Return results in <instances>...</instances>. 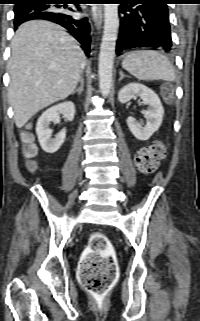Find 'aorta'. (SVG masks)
I'll use <instances>...</instances> for the list:
<instances>
[{
  "instance_id": "obj_1",
  "label": "aorta",
  "mask_w": 200,
  "mask_h": 321,
  "mask_svg": "<svg viewBox=\"0 0 200 321\" xmlns=\"http://www.w3.org/2000/svg\"><path fill=\"white\" fill-rule=\"evenodd\" d=\"M119 27L118 4H105L104 32L99 54V88L108 96L112 86L113 62Z\"/></svg>"
}]
</instances>
